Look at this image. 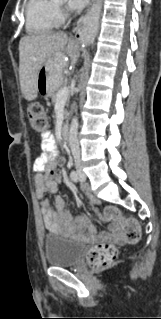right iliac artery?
<instances>
[{"label": "right iliac artery", "mask_w": 161, "mask_h": 319, "mask_svg": "<svg viewBox=\"0 0 161 319\" xmlns=\"http://www.w3.org/2000/svg\"><path fill=\"white\" fill-rule=\"evenodd\" d=\"M70 177H71V180L75 183H77L79 180H80V177H79V174L77 171L73 170L71 173H70Z\"/></svg>", "instance_id": "obj_1"}]
</instances>
